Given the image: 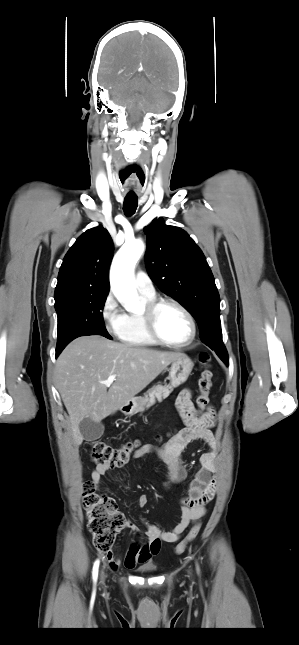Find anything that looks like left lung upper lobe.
<instances>
[{
  "label": "left lung upper lobe",
  "mask_w": 299,
  "mask_h": 645,
  "mask_svg": "<svg viewBox=\"0 0 299 645\" xmlns=\"http://www.w3.org/2000/svg\"><path fill=\"white\" fill-rule=\"evenodd\" d=\"M144 231L150 278L193 315L203 343L228 361L222 341L220 297L204 254L183 229L165 225L162 218L153 220Z\"/></svg>",
  "instance_id": "1"
}]
</instances>
